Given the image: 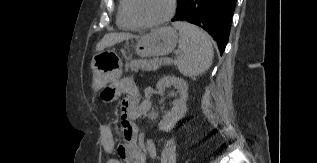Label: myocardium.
<instances>
[{"mask_svg": "<svg viewBox=\"0 0 317 163\" xmlns=\"http://www.w3.org/2000/svg\"><path fill=\"white\" fill-rule=\"evenodd\" d=\"M134 3L135 0H128L129 15L138 26L145 28H153L165 24L172 18L176 11V0H170L168 12L162 18L155 21H144L137 15Z\"/></svg>", "mask_w": 317, "mask_h": 163, "instance_id": "f54148a6", "label": "myocardium"}]
</instances>
